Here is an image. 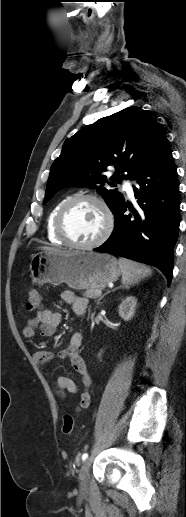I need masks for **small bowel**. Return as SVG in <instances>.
<instances>
[{
    "mask_svg": "<svg viewBox=\"0 0 186 517\" xmlns=\"http://www.w3.org/2000/svg\"><path fill=\"white\" fill-rule=\"evenodd\" d=\"M61 299L64 302L72 305L76 314L84 313L88 306L87 298L77 296L71 291H63L61 293ZM61 321L62 316L60 313L45 308L38 311L35 316H32L27 320L22 333L26 338L35 337L38 331L43 336H53L55 335ZM82 342V334L77 332L71 336L68 345L64 349L58 352L39 350L33 354L34 360L40 366H44L48 362L55 359L68 358L70 360L72 367L79 373L80 383L82 386L80 400L78 406L76 407V411L88 408L92 401V378L85 361L79 354ZM54 392L59 398L63 399L65 398L66 393H77L78 386L77 383L71 378L58 377L54 381Z\"/></svg>",
    "mask_w": 186,
    "mask_h": 517,
    "instance_id": "1",
    "label": "small bowel"
}]
</instances>
